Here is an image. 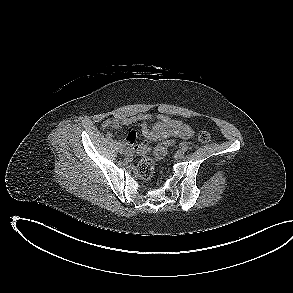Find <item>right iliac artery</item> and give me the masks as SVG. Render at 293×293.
Masks as SVG:
<instances>
[{"mask_svg":"<svg viewBox=\"0 0 293 293\" xmlns=\"http://www.w3.org/2000/svg\"><path fill=\"white\" fill-rule=\"evenodd\" d=\"M115 145H122L120 142H117L116 140L114 141Z\"/></svg>","mask_w":293,"mask_h":293,"instance_id":"82829eb1","label":"right iliac artery"}]
</instances>
